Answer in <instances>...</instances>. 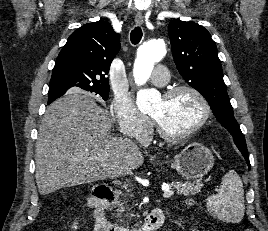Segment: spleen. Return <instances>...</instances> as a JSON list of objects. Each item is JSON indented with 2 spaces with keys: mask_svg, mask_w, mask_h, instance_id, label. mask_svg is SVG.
<instances>
[{
  "mask_svg": "<svg viewBox=\"0 0 268 231\" xmlns=\"http://www.w3.org/2000/svg\"><path fill=\"white\" fill-rule=\"evenodd\" d=\"M207 208L220 220L232 223L242 221L245 211L243 183L234 170L225 174L218 193L208 197Z\"/></svg>",
  "mask_w": 268,
  "mask_h": 231,
  "instance_id": "3e777b00",
  "label": "spleen"
}]
</instances>
